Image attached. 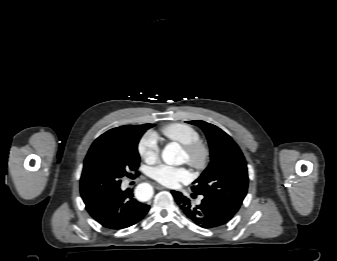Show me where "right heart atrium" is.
<instances>
[{
	"instance_id": "right-heart-atrium-1",
	"label": "right heart atrium",
	"mask_w": 337,
	"mask_h": 261,
	"mask_svg": "<svg viewBox=\"0 0 337 261\" xmlns=\"http://www.w3.org/2000/svg\"><path fill=\"white\" fill-rule=\"evenodd\" d=\"M140 156L148 163L156 161L159 155V145L154 133H146L138 144Z\"/></svg>"
}]
</instances>
